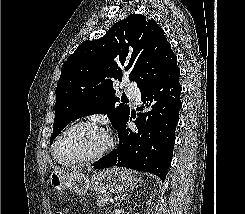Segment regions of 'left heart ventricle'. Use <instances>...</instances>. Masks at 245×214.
<instances>
[{"instance_id":"1","label":"left heart ventricle","mask_w":245,"mask_h":214,"mask_svg":"<svg viewBox=\"0 0 245 214\" xmlns=\"http://www.w3.org/2000/svg\"><path fill=\"white\" fill-rule=\"evenodd\" d=\"M104 143V136L97 129L90 126L77 127L61 139L57 156L61 160L86 158L97 153Z\"/></svg>"}]
</instances>
